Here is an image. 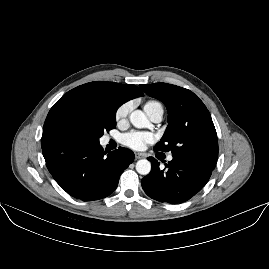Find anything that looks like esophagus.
Returning a JSON list of instances; mask_svg holds the SVG:
<instances>
[{"label": "esophagus", "instance_id": "34e87169", "mask_svg": "<svg viewBox=\"0 0 269 269\" xmlns=\"http://www.w3.org/2000/svg\"><path fill=\"white\" fill-rule=\"evenodd\" d=\"M135 158L136 159H141V158H144V155L142 153H135Z\"/></svg>", "mask_w": 269, "mask_h": 269}]
</instances>
